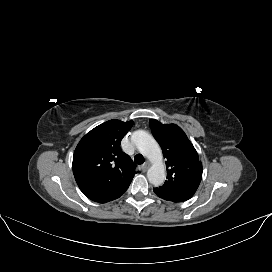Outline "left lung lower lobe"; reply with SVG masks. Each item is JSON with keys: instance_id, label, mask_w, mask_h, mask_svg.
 <instances>
[{"instance_id": "1", "label": "left lung lower lobe", "mask_w": 272, "mask_h": 272, "mask_svg": "<svg viewBox=\"0 0 272 272\" xmlns=\"http://www.w3.org/2000/svg\"><path fill=\"white\" fill-rule=\"evenodd\" d=\"M154 192L158 197L164 200L172 201V202H183L189 199V198H185L181 196L171 195V194L159 191L156 188L154 189Z\"/></svg>"}]
</instances>
